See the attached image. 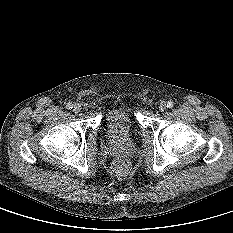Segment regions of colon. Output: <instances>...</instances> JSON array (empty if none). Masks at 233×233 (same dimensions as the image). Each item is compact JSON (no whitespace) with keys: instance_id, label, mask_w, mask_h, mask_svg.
<instances>
[{"instance_id":"1","label":"colon","mask_w":233,"mask_h":233,"mask_svg":"<svg viewBox=\"0 0 233 233\" xmlns=\"http://www.w3.org/2000/svg\"><path fill=\"white\" fill-rule=\"evenodd\" d=\"M129 168V163L125 159H118L114 163V169L119 174H124Z\"/></svg>"}]
</instances>
